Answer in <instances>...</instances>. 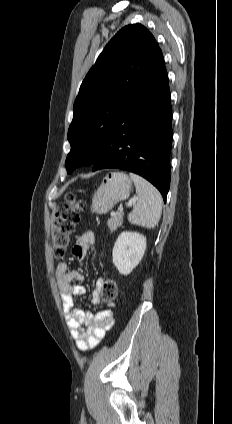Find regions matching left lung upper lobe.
I'll return each mask as SVG.
<instances>
[{"mask_svg":"<svg viewBox=\"0 0 232 424\" xmlns=\"http://www.w3.org/2000/svg\"><path fill=\"white\" fill-rule=\"evenodd\" d=\"M162 59L155 38L140 24L125 26L110 40L74 102L68 173L95 162L124 108Z\"/></svg>","mask_w":232,"mask_h":424,"instance_id":"obj_1","label":"left lung upper lobe"}]
</instances>
